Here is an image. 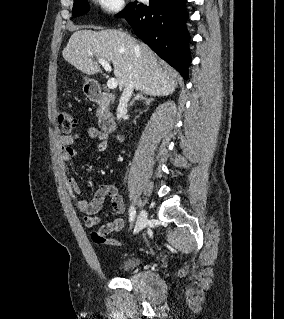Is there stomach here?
<instances>
[{
  "instance_id": "obj_1",
  "label": "stomach",
  "mask_w": 284,
  "mask_h": 319,
  "mask_svg": "<svg viewBox=\"0 0 284 319\" xmlns=\"http://www.w3.org/2000/svg\"><path fill=\"white\" fill-rule=\"evenodd\" d=\"M89 83H90V80L86 79L84 87H83L84 92H88L89 91Z\"/></svg>"
}]
</instances>
